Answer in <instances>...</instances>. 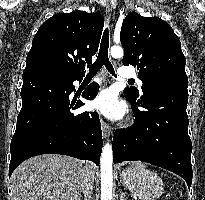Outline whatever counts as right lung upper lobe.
<instances>
[{"mask_svg":"<svg viewBox=\"0 0 205 200\" xmlns=\"http://www.w3.org/2000/svg\"><path fill=\"white\" fill-rule=\"evenodd\" d=\"M104 18L98 13L55 14L35 34L23 74L54 72L83 77L86 63L98 50Z\"/></svg>","mask_w":205,"mask_h":200,"instance_id":"right-lung-upper-lobe-1","label":"right lung upper lobe"}]
</instances>
